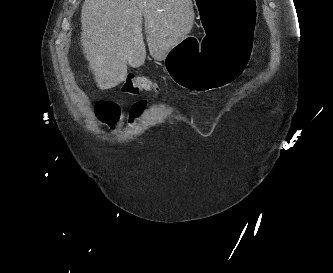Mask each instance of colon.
<instances>
[{
    "instance_id": "colon-1",
    "label": "colon",
    "mask_w": 333,
    "mask_h": 273,
    "mask_svg": "<svg viewBox=\"0 0 333 273\" xmlns=\"http://www.w3.org/2000/svg\"><path fill=\"white\" fill-rule=\"evenodd\" d=\"M142 90L157 93L159 87L150 79L129 74L122 85V91L129 94H137ZM96 113L100 121L105 124L112 125L117 122L119 118L120 108L114 102L99 101L96 104Z\"/></svg>"
}]
</instances>
